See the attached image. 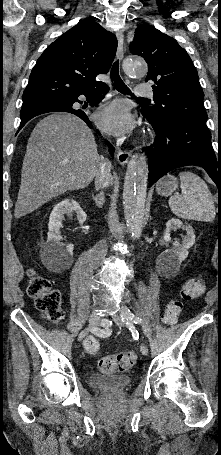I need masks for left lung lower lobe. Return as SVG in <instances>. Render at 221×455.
<instances>
[{
  "label": "left lung lower lobe",
  "mask_w": 221,
  "mask_h": 455,
  "mask_svg": "<svg viewBox=\"0 0 221 455\" xmlns=\"http://www.w3.org/2000/svg\"><path fill=\"white\" fill-rule=\"evenodd\" d=\"M143 116L156 132L154 144L146 149L149 187L173 169L196 165L204 168L221 190V157L217 158L214 153L205 123L186 119L161 122L146 114Z\"/></svg>",
  "instance_id": "0a47b994"
}]
</instances>
